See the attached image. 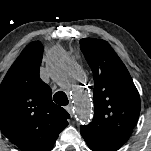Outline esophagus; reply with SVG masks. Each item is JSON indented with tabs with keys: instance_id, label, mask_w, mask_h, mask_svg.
I'll return each mask as SVG.
<instances>
[{
	"instance_id": "34e87169",
	"label": "esophagus",
	"mask_w": 151,
	"mask_h": 151,
	"mask_svg": "<svg viewBox=\"0 0 151 151\" xmlns=\"http://www.w3.org/2000/svg\"><path fill=\"white\" fill-rule=\"evenodd\" d=\"M65 109L67 110V112L72 115V106L71 105H68L65 107Z\"/></svg>"
}]
</instances>
